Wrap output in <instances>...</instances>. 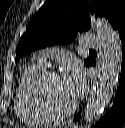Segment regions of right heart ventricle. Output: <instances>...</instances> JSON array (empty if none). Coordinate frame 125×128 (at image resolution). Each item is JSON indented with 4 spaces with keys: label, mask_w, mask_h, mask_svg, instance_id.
<instances>
[{
    "label": "right heart ventricle",
    "mask_w": 125,
    "mask_h": 128,
    "mask_svg": "<svg viewBox=\"0 0 125 128\" xmlns=\"http://www.w3.org/2000/svg\"><path fill=\"white\" fill-rule=\"evenodd\" d=\"M40 72V64L32 62L23 70L17 82L15 111L22 121L29 124H44L49 121L36 108L30 91L33 80Z\"/></svg>",
    "instance_id": "1"
}]
</instances>
